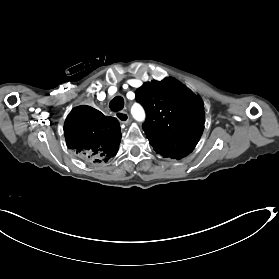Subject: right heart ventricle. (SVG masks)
<instances>
[{"label": "right heart ventricle", "mask_w": 279, "mask_h": 279, "mask_svg": "<svg viewBox=\"0 0 279 279\" xmlns=\"http://www.w3.org/2000/svg\"><path fill=\"white\" fill-rule=\"evenodd\" d=\"M105 58V56L103 55H97L95 57V60H101ZM135 99V94L133 92H128L125 94V100L129 103V102H132L133 100Z\"/></svg>", "instance_id": "obj_1"}]
</instances>
